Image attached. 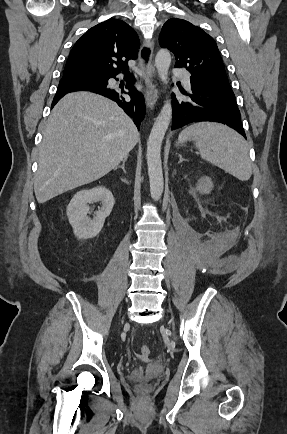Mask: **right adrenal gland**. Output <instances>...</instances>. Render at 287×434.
<instances>
[{
  "label": "right adrenal gland",
  "mask_w": 287,
  "mask_h": 434,
  "mask_svg": "<svg viewBox=\"0 0 287 434\" xmlns=\"http://www.w3.org/2000/svg\"><path fill=\"white\" fill-rule=\"evenodd\" d=\"M127 158H128V157H125V158L123 159V162H122V165H121V166L116 167V169L121 168L125 174H126L125 163H126V161H127Z\"/></svg>",
  "instance_id": "1"
}]
</instances>
